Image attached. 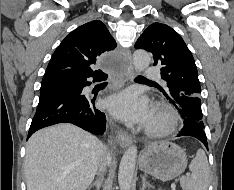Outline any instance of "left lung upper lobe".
I'll return each mask as SVG.
<instances>
[{"label":"left lung upper lobe","instance_id":"1","mask_svg":"<svg viewBox=\"0 0 234 190\" xmlns=\"http://www.w3.org/2000/svg\"><path fill=\"white\" fill-rule=\"evenodd\" d=\"M136 49L153 54L167 82L160 89L180 114L202 122L201 87L194 58L181 36L166 24L153 23L135 43Z\"/></svg>","mask_w":234,"mask_h":190}]
</instances>
